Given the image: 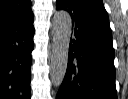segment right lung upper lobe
<instances>
[{"mask_svg": "<svg viewBox=\"0 0 128 99\" xmlns=\"http://www.w3.org/2000/svg\"><path fill=\"white\" fill-rule=\"evenodd\" d=\"M31 12V0H0V30Z\"/></svg>", "mask_w": 128, "mask_h": 99, "instance_id": "right-lung-upper-lobe-1", "label": "right lung upper lobe"}]
</instances>
